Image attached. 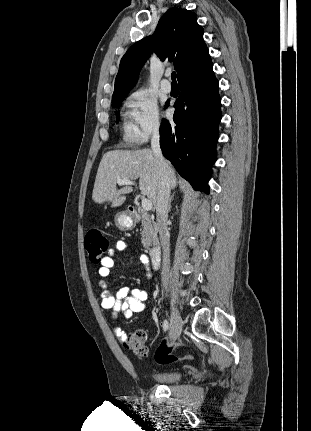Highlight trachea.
<instances>
[{
  "label": "trachea",
  "mask_w": 311,
  "mask_h": 431,
  "mask_svg": "<svg viewBox=\"0 0 311 431\" xmlns=\"http://www.w3.org/2000/svg\"><path fill=\"white\" fill-rule=\"evenodd\" d=\"M171 79H172V83L173 84H177V81H176V72H172Z\"/></svg>",
  "instance_id": "obj_1"
}]
</instances>
